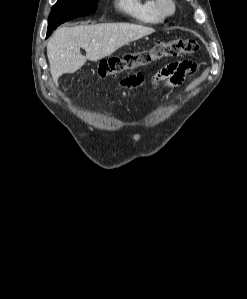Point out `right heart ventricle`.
<instances>
[{"label":"right heart ventricle","instance_id":"obj_1","mask_svg":"<svg viewBox=\"0 0 247 299\" xmlns=\"http://www.w3.org/2000/svg\"><path fill=\"white\" fill-rule=\"evenodd\" d=\"M116 7L138 23L158 24L163 19L156 0H116Z\"/></svg>","mask_w":247,"mask_h":299}]
</instances>
